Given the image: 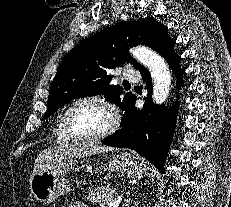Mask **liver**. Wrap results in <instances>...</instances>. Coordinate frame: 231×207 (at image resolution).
<instances>
[{
  "label": "liver",
  "mask_w": 231,
  "mask_h": 207,
  "mask_svg": "<svg viewBox=\"0 0 231 207\" xmlns=\"http://www.w3.org/2000/svg\"><path fill=\"white\" fill-rule=\"evenodd\" d=\"M111 150L112 147L98 144H78L63 148L47 149L40 153L35 160L33 174L39 170L50 168L60 160L82 158Z\"/></svg>",
  "instance_id": "6515ba94"
}]
</instances>
